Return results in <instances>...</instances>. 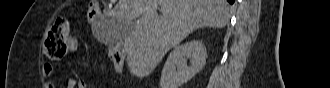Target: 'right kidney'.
<instances>
[{
    "mask_svg": "<svg viewBox=\"0 0 330 88\" xmlns=\"http://www.w3.org/2000/svg\"><path fill=\"white\" fill-rule=\"evenodd\" d=\"M206 58L207 52L202 41L194 40L175 47L163 67L160 88H180L204 67Z\"/></svg>",
    "mask_w": 330,
    "mask_h": 88,
    "instance_id": "right-kidney-1",
    "label": "right kidney"
}]
</instances>
